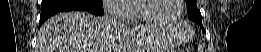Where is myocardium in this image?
<instances>
[{
  "instance_id": "1",
  "label": "myocardium",
  "mask_w": 261,
  "mask_h": 52,
  "mask_svg": "<svg viewBox=\"0 0 261 52\" xmlns=\"http://www.w3.org/2000/svg\"><path fill=\"white\" fill-rule=\"evenodd\" d=\"M149 1H154V0H142V1H139L138 5H139V9H140V15L142 17H144L147 22L149 23H155V24H172V23H175L177 22L181 16L183 15V12H184V0H177L178 2V6H179V10H178V13L175 17H173L172 19H161V18H156V17H151L149 16L145 10H144V7L146 5L147 2Z\"/></svg>"
}]
</instances>
